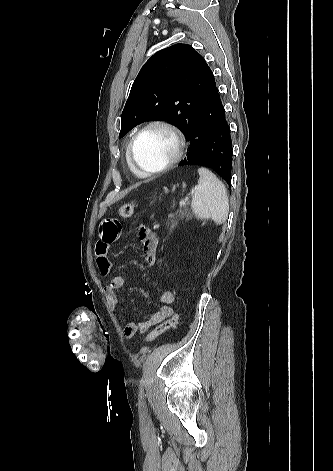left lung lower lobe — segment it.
Instances as JSON below:
<instances>
[{
	"mask_svg": "<svg viewBox=\"0 0 333 471\" xmlns=\"http://www.w3.org/2000/svg\"><path fill=\"white\" fill-rule=\"evenodd\" d=\"M189 155L179 166L197 164L215 170L230 186L232 142L230 128L215 81L187 137Z\"/></svg>",
	"mask_w": 333,
	"mask_h": 471,
	"instance_id": "left-lung-lower-lobe-1",
	"label": "left lung lower lobe"
}]
</instances>
